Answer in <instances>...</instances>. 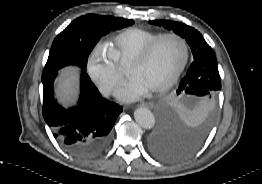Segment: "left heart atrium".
I'll list each match as a JSON object with an SVG mask.
<instances>
[{"label": "left heart atrium", "instance_id": "39dd6f15", "mask_svg": "<svg viewBox=\"0 0 262 184\" xmlns=\"http://www.w3.org/2000/svg\"><path fill=\"white\" fill-rule=\"evenodd\" d=\"M148 91L149 88L145 84L132 77L116 91V97L121 101L131 102L144 96Z\"/></svg>", "mask_w": 262, "mask_h": 184}]
</instances>
